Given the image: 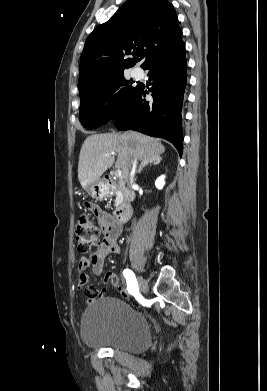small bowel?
<instances>
[{
  "label": "small bowel",
  "instance_id": "small-bowel-1",
  "mask_svg": "<svg viewBox=\"0 0 267 391\" xmlns=\"http://www.w3.org/2000/svg\"><path fill=\"white\" fill-rule=\"evenodd\" d=\"M86 208L95 215L104 235L100 248L90 257L81 258L78 265L79 288L83 290L87 303H91L95 297L103 298L105 292L104 289L89 285L86 272L89 269L94 275H101L106 257L120 252L118 237L121 233V227L115 225L112 217L98 205L86 203ZM113 277H115L114 273H107L105 282L111 281Z\"/></svg>",
  "mask_w": 267,
  "mask_h": 391
}]
</instances>
